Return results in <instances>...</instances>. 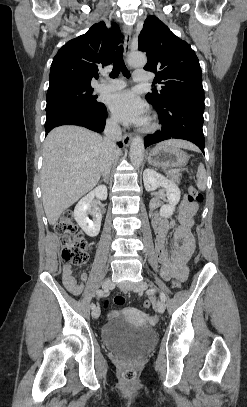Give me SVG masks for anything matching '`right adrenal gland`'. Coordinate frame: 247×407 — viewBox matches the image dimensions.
<instances>
[{
  "instance_id": "right-adrenal-gland-1",
  "label": "right adrenal gland",
  "mask_w": 247,
  "mask_h": 407,
  "mask_svg": "<svg viewBox=\"0 0 247 407\" xmlns=\"http://www.w3.org/2000/svg\"><path fill=\"white\" fill-rule=\"evenodd\" d=\"M102 181H103L104 183L108 184V183H109V177L106 176L105 178L102 179Z\"/></svg>"
}]
</instances>
